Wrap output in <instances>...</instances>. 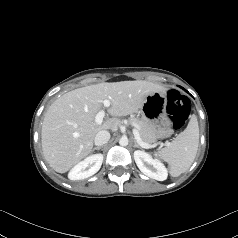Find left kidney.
I'll use <instances>...</instances> for the list:
<instances>
[{"label":"left kidney","mask_w":238,"mask_h":238,"mask_svg":"<svg viewBox=\"0 0 238 238\" xmlns=\"http://www.w3.org/2000/svg\"><path fill=\"white\" fill-rule=\"evenodd\" d=\"M134 159L143 174L158 181L167 179V169L158 159H153L148 153L140 150L134 152Z\"/></svg>","instance_id":"5707ae66"}]
</instances>
